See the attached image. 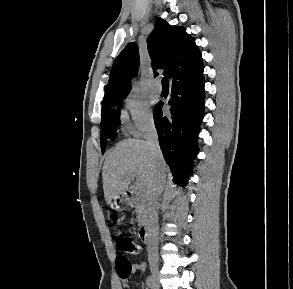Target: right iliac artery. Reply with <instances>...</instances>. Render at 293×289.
Instances as JSON below:
<instances>
[{
    "mask_svg": "<svg viewBox=\"0 0 293 289\" xmlns=\"http://www.w3.org/2000/svg\"><path fill=\"white\" fill-rule=\"evenodd\" d=\"M146 284L149 288L153 289V282H152L151 276H148L146 280Z\"/></svg>",
    "mask_w": 293,
    "mask_h": 289,
    "instance_id": "1",
    "label": "right iliac artery"
}]
</instances>
